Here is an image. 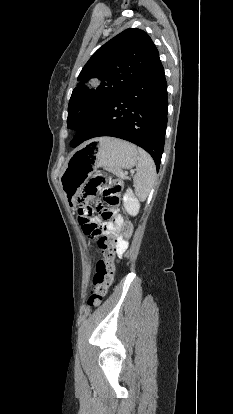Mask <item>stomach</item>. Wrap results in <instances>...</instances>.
I'll return each instance as SVG.
<instances>
[{"label":"stomach","mask_w":233,"mask_h":414,"mask_svg":"<svg viewBox=\"0 0 233 414\" xmlns=\"http://www.w3.org/2000/svg\"><path fill=\"white\" fill-rule=\"evenodd\" d=\"M139 159L135 145L115 138H95L75 150L61 176L64 195L75 203L86 179L99 167L117 172L131 169Z\"/></svg>","instance_id":"obj_1"}]
</instances>
